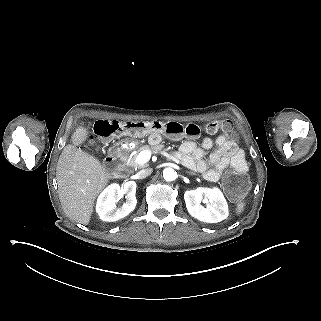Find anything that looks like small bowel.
Returning <instances> with one entry per match:
<instances>
[{
	"instance_id": "obj_1",
	"label": "small bowel",
	"mask_w": 321,
	"mask_h": 321,
	"mask_svg": "<svg viewBox=\"0 0 321 321\" xmlns=\"http://www.w3.org/2000/svg\"><path fill=\"white\" fill-rule=\"evenodd\" d=\"M151 140L157 142L158 135L153 134ZM213 146L216 150L208 158H204L205 151ZM177 157L186 167L202 173L210 182L218 181L222 172L229 166L241 171L247 169L244 153L227 134H221L214 140L206 137L200 145L186 140L180 145Z\"/></svg>"
}]
</instances>
